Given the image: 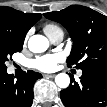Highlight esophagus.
I'll return each mask as SVG.
<instances>
[{"label":"esophagus","instance_id":"esophagus-1","mask_svg":"<svg viewBox=\"0 0 107 107\" xmlns=\"http://www.w3.org/2000/svg\"><path fill=\"white\" fill-rule=\"evenodd\" d=\"M43 77H45V78H54L55 74H44Z\"/></svg>","mask_w":107,"mask_h":107}]
</instances>
